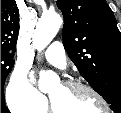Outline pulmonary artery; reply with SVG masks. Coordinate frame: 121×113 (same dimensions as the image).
Returning a JSON list of instances; mask_svg holds the SVG:
<instances>
[{"label":"pulmonary artery","mask_w":121,"mask_h":113,"mask_svg":"<svg viewBox=\"0 0 121 113\" xmlns=\"http://www.w3.org/2000/svg\"><path fill=\"white\" fill-rule=\"evenodd\" d=\"M43 55L46 61L51 65L59 69H64L66 67V54L60 42L52 43Z\"/></svg>","instance_id":"1"}]
</instances>
